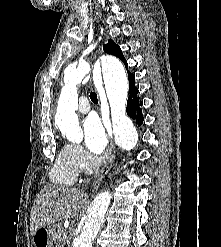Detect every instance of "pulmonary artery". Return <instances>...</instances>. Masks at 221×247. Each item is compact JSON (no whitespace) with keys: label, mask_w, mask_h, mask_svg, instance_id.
<instances>
[{"label":"pulmonary artery","mask_w":221,"mask_h":247,"mask_svg":"<svg viewBox=\"0 0 221 247\" xmlns=\"http://www.w3.org/2000/svg\"><path fill=\"white\" fill-rule=\"evenodd\" d=\"M79 112L85 114L90 110V104L86 97H81L78 102Z\"/></svg>","instance_id":"pulmonary-artery-1"}]
</instances>
